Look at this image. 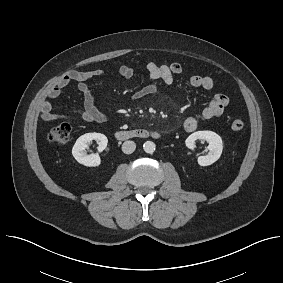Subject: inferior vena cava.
Segmentation results:
<instances>
[{"label":"inferior vena cava","instance_id":"obj_1","mask_svg":"<svg viewBox=\"0 0 283 283\" xmlns=\"http://www.w3.org/2000/svg\"><path fill=\"white\" fill-rule=\"evenodd\" d=\"M136 149V144L133 141H125L122 144V151L125 154H131L135 151Z\"/></svg>","mask_w":283,"mask_h":283}]
</instances>
